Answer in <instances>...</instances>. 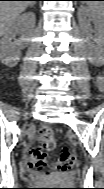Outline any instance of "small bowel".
Wrapping results in <instances>:
<instances>
[{
    "instance_id": "c3829d8e",
    "label": "small bowel",
    "mask_w": 104,
    "mask_h": 189,
    "mask_svg": "<svg viewBox=\"0 0 104 189\" xmlns=\"http://www.w3.org/2000/svg\"><path fill=\"white\" fill-rule=\"evenodd\" d=\"M97 82H98V85L101 86V85H102V82H103V79H102V78H98V79H97Z\"/></svg>"
}]
</instances>
